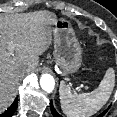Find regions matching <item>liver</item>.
<instances>
[{
	"label": "liver",
	"instance_id": "1",
	"mask_svg": "<svg viewBox=\"0 0 117 117\" xmlns=\"http://www.w3.org/2000/svg\"><path fill=\"white\" fill-rule=\"evenodd\" d=\"M56 15L38 11L0 17V113L12 102L21 68L34 71L52 41ZM16 54H10L9 45Z\"/></svg>",
	"mask_w": 117,
	"mask_h": 117
}]
</instances>
